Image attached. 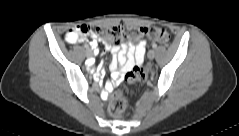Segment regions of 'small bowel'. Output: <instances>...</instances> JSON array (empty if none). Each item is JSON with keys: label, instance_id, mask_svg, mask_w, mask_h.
I'll return each mask as SVG.
<instances>
[{"label": "small bowel", "instance_id": "small-bowel-1", "mask_svg": "<svg viewBox=\"0 0 239 136\" xmlns=\"http://www.w3.org/2000/svg\"><path fill=\"white\" fill-rule=\"evenodd\" d=\"M90 45L94 49V52H98L97 48V36L91 34ZM105 50L112 54L110 69L113 72L111 80L105 84V91L111 93L118 85L122 73L133 68L136 64L143 61L146 43L139 41L137 43H123V44H109L104 41ZM119 66V68H118Z\"/></svg>", "mask_w": 239, "mask_h": 136}]
</instances>
